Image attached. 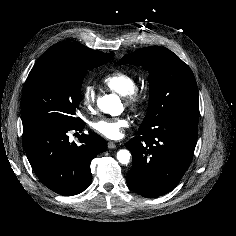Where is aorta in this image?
<instances>
[{"label": "aorta", "mask_w": 236, "mask_h": 236, "mask_svg": "<svg viewBox=\"0 0 236 236\" xmlns=\"http://www.w3.org/2000/svg\"><path fill=\"white\" fill-rule=\"evenodd\" d=\"M98 107L107 114L117 116L123 111V105L116 94L104 95L97 101ZM131 154L128 150L122 149L117 152V159L121 164H128Z\"/></svg>", "instance_id": "762f6f07"}]
</instances>
